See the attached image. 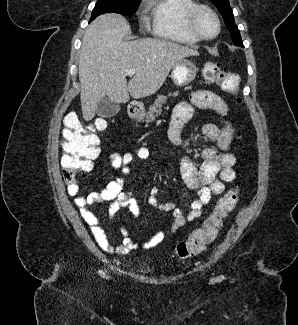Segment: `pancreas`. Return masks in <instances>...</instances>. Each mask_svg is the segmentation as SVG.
Listing matches in <instances>:
<instances>
[{
  "label": "pancreas",
  "instance_id": "cf45deb5",
  "mask_svg": "<svg viewBox=\"0 0 298 325\" xmlns=\"http://www.w3.org/2000/svg\"><path fill=\"white\" fill-rule=\"evenodd\" d=\"M177 94H180L179 90L169 92L167 96H165V94H157L156 100H154L153 104L149 106V110L146 114V122H152V120H155L156 116H158V114H161L163 104L167 102L168 96H177Z\"/></svg>",
  "mask_w": 298,
  "mask_h": 325
}]
</instances>
